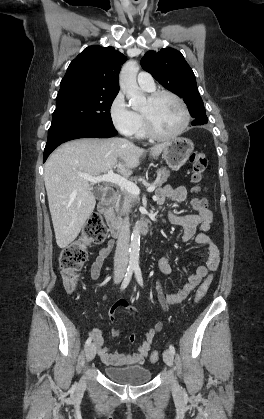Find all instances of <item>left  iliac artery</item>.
<instances>
[{"label": "left iliac artery", "instance_id": "44dca946", "mask_svg": "<svg viewBox=\"0 0 264 419\" xmlns=\"http://www.w3.org/2000/svg\"><path fill=\"white\" fill-rule=\"evenodd\" d=\"M134 271H135V276H136V279H137L138 283L140 284V286H143V279H142V274H141L140 268L135 267ZM169 349L173 354H175V348H174L173 345H170Z\"/></svg>", "mask_w": 264, "mask_h": 419}]
</instances>
